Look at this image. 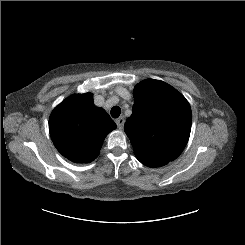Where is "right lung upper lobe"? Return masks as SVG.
<instances>
[{"mask_svg": "<svg viewBox=\"0 0 245 245\" xmlns=\"http://www.w3.org/2000/svg\"><path fill=\"white\" fill-rule=\"evenodd\" d=\"M116 124L102 108L95 107L91 93L72 95L51 113L49 131L57 150L75 163L97 158L105 137Z\"/></svg>", "mask_w": 245, "mask_h": 245, "instance_id": "1", "label": "right lung upper lobe"}]
</instances>
